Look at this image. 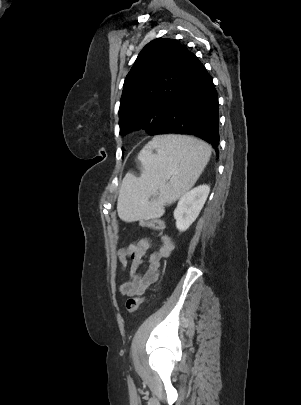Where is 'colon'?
<instances>
[{
	"instance_id": "5ec220e1",
	"label": "colon",
	"mask_w": 301,
	"mask_h": 405,
	"mask_svg": "<svg viewBox=\"0 0 301 405\" xmlns=\"http://www.w3.org/2000/svg\"><path fill=\"white\" fill-rule=\"evenodd\" d=\"M141 225L156 231H163L165 229L164 222L156 219L142 221ZM145 300H146L145 297H129L126 301L127 311L129 313L135 312Z\"/></svg>"
}]
</instances>
